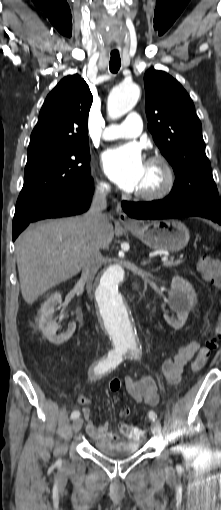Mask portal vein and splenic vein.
<instances>
[{
  "label": "portal vein and splenic vein",
  "instance_id": "obj_1",
  "mask_svg": "<svg viewBox=\"0 0 221 510\" xmlns=\"http://www.w3.org/2000/svg\"><path fill=\"white\" fill-rule=\"evenodd\" d=\"M182 261H183V260H177L176 262H174L172 258H171V259H167V258H165V259H163V263H162V264H163L164 266H170V265H172V264H174V263H181Z\"/></svg>",
  "mask_w": 221,
  "mask_h": 510
}]
</instances>
